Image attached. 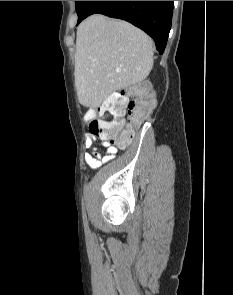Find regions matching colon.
Returning <instances> with one entry per match:
<instances>
[{
  "instance_id": "5ec220e1",
  "label": "colon",
  "mask_w": 233,
  "mask_h": 295,
  "mask_svg": "<svg viewBox=\"0 0 233 295\" xmlns=\"http://www.w3.org/2000/svg\"><path fill=\"white\" fill-rule=\"evenodd\" d=\"M148 92V85L142 83L109 96L101 108L87 114L90 133L110 146L130 144L152 111L154 103Z\"/></svg>"
}]
</instances>
